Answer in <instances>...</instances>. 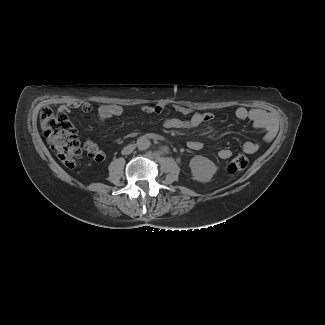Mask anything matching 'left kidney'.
Segmentation results:
<instances>
[{"mask_svg": "<svg viewBox=\"0 0 325 325\" xmlns=\"http://www.w3.org/2000/svg\"><path fill=\"white\" fill-rule=\"evenodd\" d=\"M189 166L193 179L202 183L211 180L217 171V166L208 158L197 155L190 160Z\"/></svg>", "mask_w": 325, "mask_h": 325, "instance_id": "5707ae66", "label": "left kidney"}]
</instances>
